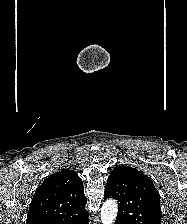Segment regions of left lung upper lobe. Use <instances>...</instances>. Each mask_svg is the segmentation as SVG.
<instances>
[{
    "mask_svg": "<svg viewBox=\"0 0 187 224\" xmlns=\"http://www.w3.org/2000/svg\"><path fill=\"white\" fill-rule=\"evenodd\" d=\"M118 202L119 224H161L160 196L152 180L129 166L115 167L106 183L104 200Z\"/></svg>",
    "mask_w": 187,
    "mask_h": 224,
    "instance_id": "1",
    "label": "left lung upper lobe"
}]
</instances>
